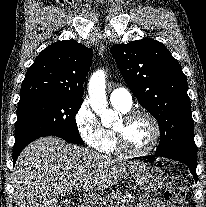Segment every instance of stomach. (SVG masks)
I'll list each match as a JSON object with an SVG mask.
<instances>
[{
  "label": "stomach",
  "instance_id": "stomach-1",
  "mask_svg": "<svg viewBox=\"0 0 206 207\" xmlns=\"http://www.w3.org/2000/svg\"><path fill=\"white\" fill-rule=\"evenodd\" d=\"M133 178L139 189L152 193L164 186L167 177L159 167L141 164L135 170Z\"/></svg>",
  "mask_w": 206,
  "mask_h": 207
}]
</instances>
